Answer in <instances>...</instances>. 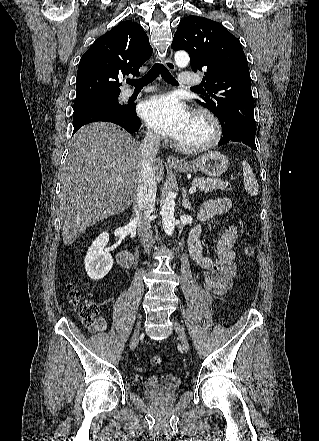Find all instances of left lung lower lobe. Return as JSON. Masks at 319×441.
<instances>
[{"label": "left lung lower lobe", "mask_w": 319, "mask_h": 441, "mask_svg": "<svg viewBox=\"0 0 319 441\" xmlns=\"http://www.w3.org/2000/svg\"><path fill=\"white\" fill-rule=\"evenodd\" d=\"M255 133V126L241 122H234L230 124L227 129L223 130V138L219 141L218 145L234 141L244 143L256 150Z\"/></svg>", "instance_id": "1"}]
</instances>
